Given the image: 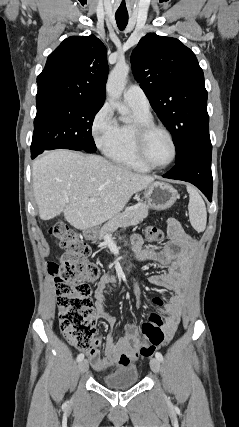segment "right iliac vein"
<instances>
[{"mask_svg":"<svg viewBox=\"0 0 239 427\" xmlns=\"http://www.w3.org/2000/svg\"><path fill=\"white\" fill-rule=\"evenodd\" d=\"M89 364L88 361L86 359L80 361L79 365H78V371L80 374L86 372L88 370Z\"/></svg>","mask_w":239,"mask_h":427,"instance_id":"obj_1","label":"right iliac vein"}]
</instances>
